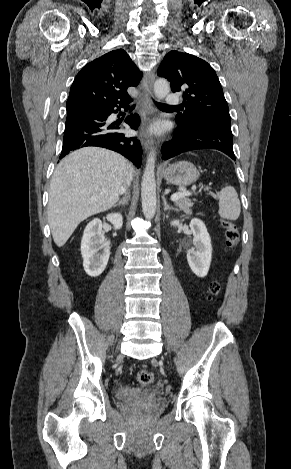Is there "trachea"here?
Segmentation results:
<instances>
[{
	"label": "trachea",
	"instance_id": "obj_1",
	"mask_svg": "<svg viewBox=\"0 0 291 469\" xmlns=\"http://www.w3.org/2000/svg\"><path fill=\"white\" fill-rule=\"evenodd\" d=\"M156 104H157V106L163 107V108H177V107H179V106H169V105L163 104V103H156ZM134 106L135 105H133L132 107H134Z\"/></svg>",
	"mask_w": 291,
	"mask_h": 469
}]
</instances>
